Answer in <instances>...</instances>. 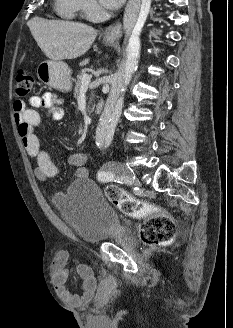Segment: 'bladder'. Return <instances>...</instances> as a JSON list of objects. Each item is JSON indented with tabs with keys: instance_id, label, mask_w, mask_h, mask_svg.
<instances>
[{
	"instance_id": "bladder-1",
	"label": "bladder",
	"mask_w": 233,
	"mask_h": 328,
	"mask_svg": "<svg viewBox=\"0 0 233 328\" xmlns=\"http://www.w3.org/2000/svg\"><path fill=\"white\" fill-rule=\"evenodd\" d=\"M52 203L65 223L83 240L98 243L116 239L134 244L122 227L118 213L93 181L84 179L71 183L64 192L52 197Z\"/></svg>"
}]
</instances>
